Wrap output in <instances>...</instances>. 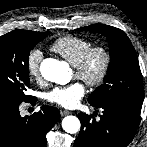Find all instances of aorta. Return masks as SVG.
<instances>
[{"label": "aorta", "mask_w": 147, "mask_h": 147, "mask_svg": "<svg viewBox=\"0 0 147 147\" xmlns=\"http://www.w3.org/2000/svg\"><path fill=\"white\" fill-rule=\"evenodd\" d=\"M40 72L46 80L57 84L64 85L71 80L69 65L53 58L41 62ZM62 128L67 133L75 134L80 130V121L76 116H66L62 120Z\"/></svg>", "instance_id": "aorta-1"}]
</instances>
